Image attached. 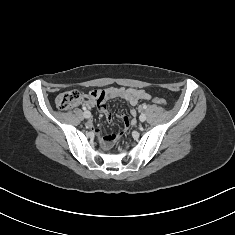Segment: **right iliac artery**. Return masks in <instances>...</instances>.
Masks as SVG:
<instances>
[{"mask_svg": "<svg viewBox=\"0 0 235 235\" xmlns=\"http://www.w3.org/2000/svg\"><path fill=\"white\" fill-rule=\"evenodd\" d=\"M83 110L85 111L84 113L89 112V111H87L86 107H83Z\"/></svg>", "mask_w": 235, "mask_h": 235, "instance_id": "1", "label": "right iliac artery"}]
</instances>
